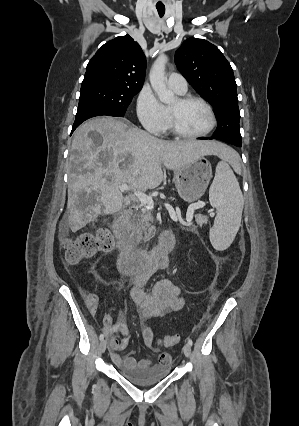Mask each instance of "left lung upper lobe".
Masks as SVG:
<instances>
[{"label": "left lung upper lobe", "mask_w": 299, "mask_h": 426, "mask_svg": "<svg viewBox=\"0 0 299 426\" xmlns=\"http://www.w3.org/2000/svg\"><path fill=\"white\" fill-rule=\"evenodd\" d=\"M175 63L189 84L213 105L218 121L213 138L241 147L236 82L221 51L204 39L189 38L177 50Z\"/></svg>", "instance_id": "1"}]
</instances>
